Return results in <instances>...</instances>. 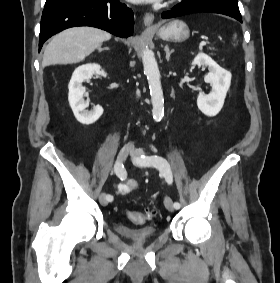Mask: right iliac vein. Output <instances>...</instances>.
Returning <instances> with one entry per match:
<instances>
[{"label":"right iliac vein","mask_w":280,"mask_h":283,"mask_svg":"<svg viewBox=\"0 0 280 283\" xmlns=\"http://www.w3.org/2000/svg\"><path fill=\"white\" fill-rule=\"evenodd\" d=\"M131 151H132V148L130 146H128V145L123 146L118 153V159L120 161H125ZM99 202L102 206H106L108 204V200L106 198V193H102L99 196Z\"/></svg>","instance_id":"obj_1"}]
</instances>
